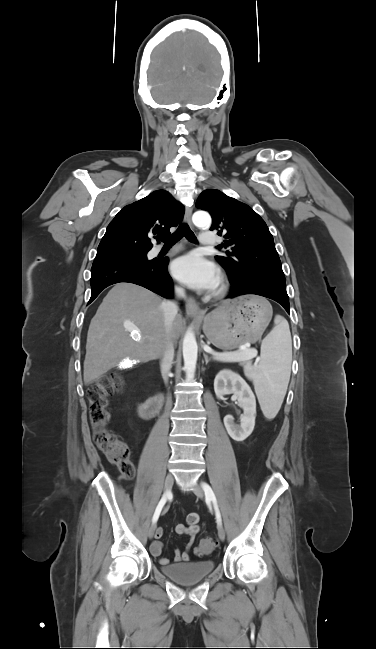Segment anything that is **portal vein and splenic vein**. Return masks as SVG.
I'll list each match as a JSON object with an SVG mask.
<instances>
[{
    "mask_svg": "<svg viewBox=\"0 0 376 649\" xmlns=\"http://www.w3.org/2000/svg\"><path fill=\"white\" fill-rule=\"evenodd\" d=\"M127 329L131 332V334L135 337L139 336V333L135 330V326L133 324L127 325ZM206 350V349H205ZM241 350H246L247 352L245 354H239V353H221L217 354L213 350H210L209 353L215 355V360L221 361V362H241V361H246L250 360L254 357H256L257 352L254 350H247V348L243 347Z\"/></svg>",
    "mask_w": 376,
    "mask_h": 649,
    "instance_id": "1",
    "label": "portal vein and splenic vein"
}]
</instances>
